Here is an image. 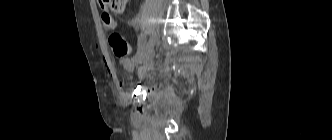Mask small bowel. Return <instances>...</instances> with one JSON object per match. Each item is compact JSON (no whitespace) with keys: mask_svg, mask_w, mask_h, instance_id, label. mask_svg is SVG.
<instances>
[{"mask_svg":"<svg viewBox=\"0 0 332 140\" xmlns=\"http://www.w3.org/2000/svg\"><path fill=\"white\" fill-rule=\"evenodd\" d=\"M119 65H120L121 69L127 71L130 74V77H132V74L135 69V62L133 59L122 58L119 61ZM148 69H149V66L147 64L141 65L138 69L139 78L143 79L146 76Z\"/></svg>","mask_w":332,"mask_h":140,"instance_id":"obj_1","label":"small bowel"}]
</instances>
